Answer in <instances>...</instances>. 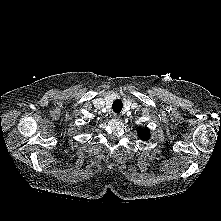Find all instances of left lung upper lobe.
<instances>
[{"label":"left lung upper lobe","mask_w":221,"mask_h":221,"mask_svg":"<svg viewBox=\"0 0 221 221\" xmlns=\"http://www.w3.org/2000/svg\"><path fill=\"white\" fill-rule=\"evenodd\" d=\"M138 135H139V137H140L142 140H148L149 137H150L149 130L146 129V128H141V129L138 131Z\"/></svg>","instance_id":"5c2ea615"}]
</instances>
